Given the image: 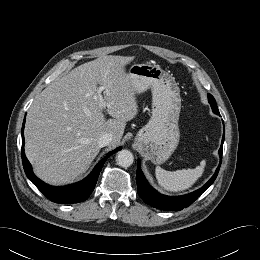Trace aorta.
Listing matches in <instances>:
<instances>
[{
    "label": "aorta",
    "instance_id": "obj_1",
    "mask_svg": "<svg viewBox=\"0 0 260 260\" xmlns=\"http://www.w3.org/2000/svg\"><path fill=\"white\" fill-rule=\"evenodd\" d=\"M117 164L121 167H129L134 162V156L129 150H121L116 156Z\"/></svg>",
    "mask_w": 260,
    "mask_h": 260
}]
</instances>
